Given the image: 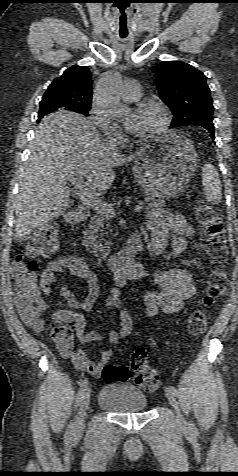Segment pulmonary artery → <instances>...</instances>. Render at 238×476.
<instances>
[{
  "label": "pulmonary artery",
  "mask_w": 238,
  "mask_h": 476,
  "mask_svg": "<svg viewBox=\"0 0 238 476\" xmlns=\"http://www.w3.org/2000/svg\"><path fill=\"white\" fill-rule=\"evenodd\" d=\"M122 99L126 102H134L141 97V86L136 80H127L123 84Z\"/></svg>",
  "instance_id": "obj_1"
}]
</instances>
